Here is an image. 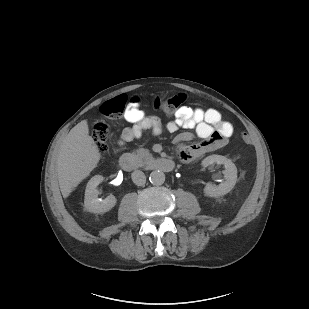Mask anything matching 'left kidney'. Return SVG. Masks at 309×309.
<instances>
[{
  "label": "left kidney",
  "mask_w": 309,
  "mask_h": 309,
  "mask_svg": "<svg viewBox=\"0 0 309 309\" xmlns=\"http://www.w3.org/2000/svg\"><path fill=\"white\" fill-rule=\"evenodd\" d=\"M215 163L225 166V170L223 171L225 181L217 186L207 183L204 187V193L209 197H220L229 193L234 188L237 181V168L235 164L224 156L210 155L202 161V166L208 167Z\"/></svg>",
  "instance_id": "obj_1"
}]
</instances>
